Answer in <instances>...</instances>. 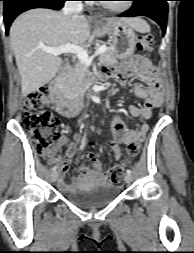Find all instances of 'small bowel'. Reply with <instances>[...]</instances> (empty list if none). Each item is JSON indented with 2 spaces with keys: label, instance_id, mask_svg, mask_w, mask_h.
<instances>
[{
  "label": "small bowel",
  "instance_id": "c3829d8e",
  "mask_svg": "<svg viewBox=\"0 0 194 253\" xmlns=\"http://www.w3.org/2000/svg\"><path fill=\"white\" fill-rule=\"evenodd\" d=\"M154 74H158L156 66H151L147 58L138 55L132 56L111 70L107 67L102 70L103 76L118 78L122 83L129 77H136L141 81V83L134 86L133 93L137 97L144 99L145 104L143 107L131 105L129 111L132 116L141 117L145 120L149 119L152 115V111L160 107L163 102L162 85L161 82L154 77ZM149 128V124L144 122L137 130L129 129L119 117H114L111 131L115 141H108L106 145L112 150L114 158L119 160L122 154L118 144L129 146L132 143H138L140 145L145 139ZM78 140L79 137H76L74 140L63 138L60 141V145H66L64 156L51 160L52 163L57 164L56 167H58L59 173L58 186L63 192L73 190L88 178L101 183H107L112 180L110 171H103L101 163L95 159L92 154H88V157L93 161L92 168L90 169L86 165L80 166V177H73L71 183L66 182L65 174L69 169L70 160L77 152Z\"/></svg>",
  "mask_w": 194,
  "mask_h": 253
}]
</instances>
